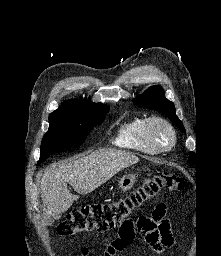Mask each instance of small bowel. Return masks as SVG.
Wrapping results in <instances>:
<instances>
[{
  "label": "small bowel",
  "mask_w": 221,
  "mask_h": 256,
  "mask_svg": "<svg viewBox=\"0 0 221 256\" xmlns=\"http://www.w3.org/2000/svg\"><path fill=\"white\" fill-rule=\"evenodd\" d=\"M166 210L164 203L158 204L150 215L140 216L136 222L132 221L129 228L119 230L118 236L106 247L102 256H116L131 246L136 232L145 236L148 248L156 254H162L165 250L173 248L175 242L170 221L165 218ZM88 254V249L82 251L83 256Z\"/></svg>",
  "instance_id": "c3829d8e"
}]
</instances>
